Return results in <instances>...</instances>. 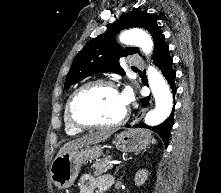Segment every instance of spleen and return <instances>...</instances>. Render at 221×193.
Here are the masks:
<instances>
[{
	"mask_svg": "<svg viewBox=\"0 0 221 193\" xmlns=\"http://www.w3.org/2000/svg\"><path fill=\"white\" fill-rule=\"evenodd\" d=\"M156 142H157V141L153 138V139H152V144H156Z\"/></svg>",
	"mask_w": 221,
	"mask_h": 193,
	"instance_id": "obj_1",
	"label": "spleen"
}]
</instances>
